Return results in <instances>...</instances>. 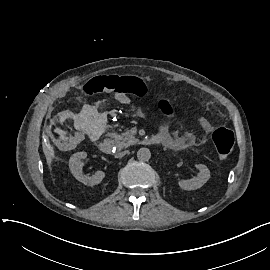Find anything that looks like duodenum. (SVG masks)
<instances>
[{
  "label": "duodenum",
  "instance_id": "1",
  "mask_svg": "<svg viewBox=\"0 0 270 270\" xmlns=\"http://www.w3.org/2000/svg\"><path fill=\"white\" fill-rule=\"evenodd\" d=\"M144 142H145V144H159L160 140H159L158 136L155 135V136H151V137L147 138ZM112 147H113V144H112L111 140H109V139H105L99 143L100 151L105 153V154L111 153Z\"/></svg>",
  "mask_w": 270,
  "mask_h": 270
}]
</instances>
